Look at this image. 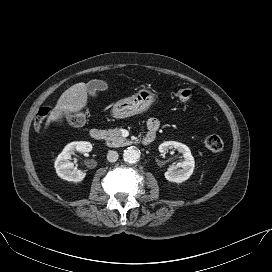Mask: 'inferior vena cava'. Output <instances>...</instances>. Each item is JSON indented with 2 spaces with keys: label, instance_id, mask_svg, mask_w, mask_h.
<instances>
[{
  "label": "inferior vena cava",
  "instance_id": "602c4592",
  "mask_svg": "<svg viewBox=\"0 0 272 272\" xmlns=\"http://www.w3.org/2000/svg\"><path fill=\"white\" fill-rule=\"evenodd\" d=\"M118 157H119V155H118V153L116 151H114V150L108 151L107 160L109 162H116Z\"/></svg>",
  "mask_w": 272,
  "mask_h": 272
}]
</instances>
